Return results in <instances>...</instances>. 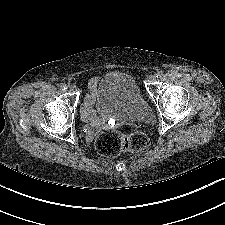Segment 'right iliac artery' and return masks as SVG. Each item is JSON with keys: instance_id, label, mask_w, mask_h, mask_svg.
<instances>
[{"instance_id": "obj_1", "label": "right iliac artery", "mask_w": 225, "mask_h": 225, "mask_svg": "<svg viewBox=\"0 0 225 225\" xmlns=\"http://www.w3.org/2000/svg\"><path fill=\"white\" fill-rule=\"evenodd\" d=\"M60 88L63 90L67 89V85L65 83H61Z\"/></svg>"}]
</instances>
